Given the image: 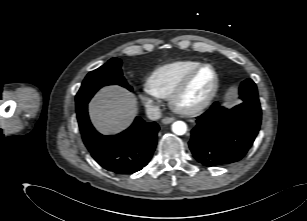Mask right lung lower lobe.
I'll return each instance as SVG.
<instances>
[{
    "label": "right lung lower lobe",
    "mask_w": 307,
    "mask_h": 221,
    "mask_svg": "<svg viewBox=\"0 0 307 221\" xmlns=\"http://www.w3.org/2000/svg\"><path fill=\"white\" fill-rule=\"evenodd\" d=\"M82 139L94 160L115 174H132L145 167L155 150L159 126L136 117L120 134L103 136L90 123L87 106L77 111Z\"/></svg>",
    "instance_id": "obj_1"
}]
</instances>
